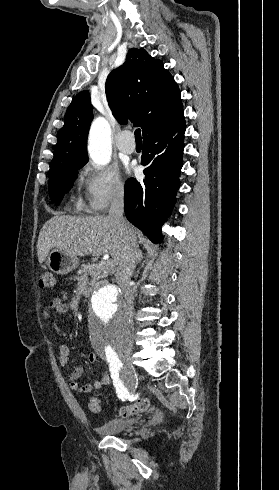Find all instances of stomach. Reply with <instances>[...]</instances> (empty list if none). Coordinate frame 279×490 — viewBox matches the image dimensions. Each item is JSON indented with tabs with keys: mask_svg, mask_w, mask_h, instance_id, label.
<instances>
[{
	"mask_svg": "<svg viewBox=\"0 0 279 490\" xmlns=\"http://www.w3.org/2000/svg\"><path fill=\"white\" fill-rule=\"evenodd\" d=\"M46 264L51 272L58 274V276H64V274H69L78 268L79 260L77 256L66 254V252H61L56 248V250H51Z\"/></svg>",
	"mask_w": 279,
	"mask_h": 490,
	"instance_id": "obj_1",
	"label": "stomach"
}]
</instances>
